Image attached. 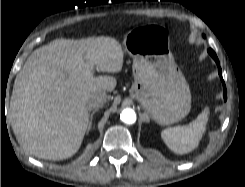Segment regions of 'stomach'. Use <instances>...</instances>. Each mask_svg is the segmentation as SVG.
<instances>
[{
	"label": "stomach",
	"mask_w": 245,
	"mask_h": 187,
	"mask_svg": "<svg viewBox=\"0 0 245 187\" xmlns=\"http://www.w3.org/2000/svg\"><path fill=\"white\" fill-rule=\"evenodd\" d=\"M123 45L133 58L131 96L159 124L183 119L191 108V93L170 52L167 29L157 24L138 27L125 36Z\"/></svg>",
	"instance_id": "1"
}]
</instances>
